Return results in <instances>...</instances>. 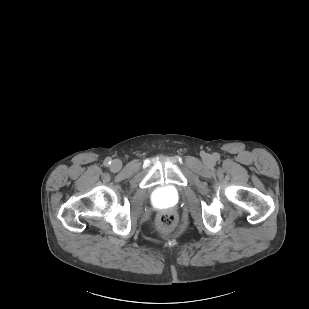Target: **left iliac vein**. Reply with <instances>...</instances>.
<instances>
[{"label": "left iliac vein", "mask_w": 309, "mask_h": 309, "mask_svg": "<svg viewBox=\"0 0 309 309\" xmlns=\"http://www.w3.org/2000/svg\"><path fill=\"white\" fill-rule=\"evenodd\" d=\"M203 160L204 163L207 164L208 166H212L214 164V160L210 155H205Z\"/></svg>", "instance_id": "1"}]
</instances>
